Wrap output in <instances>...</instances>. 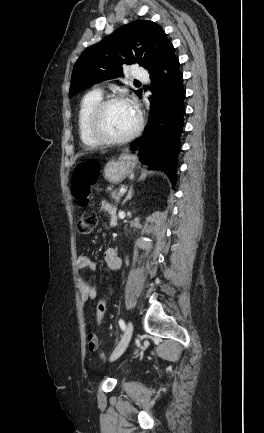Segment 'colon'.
Instances as JSON below:
<instances>
[{
    "label": "colon",
    "mask_w": 264,
    "mask_h": 433,
    "mask_svg": "<svg viewBox=\"0 0 264 433\" xmlns=\"http://www.w3.org/2000/svg\"><path fill=\"white\" fill-rule=\"evenodd\" d=\"M99 176V164L95 161H86L77 165L72 173V193L78 203L85 206L89 202L91 187L96 183ZM97 224V216L93 211H85L78 222V230L82 234L92 232ZM109 297H102L96 306V320L100 325L106 314Z\"/></svg>",
    "instance_id": "5ec220e1"
}]
</instances>
